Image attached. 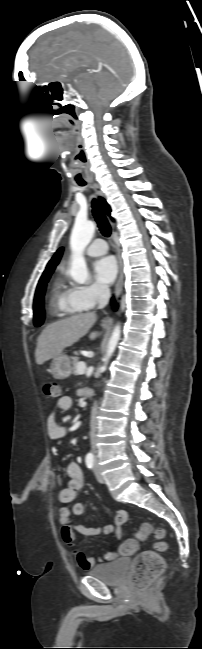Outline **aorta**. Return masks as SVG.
<instances>
[{
  "instance_id": "aorta-1",
  "label": "aorta",
  "mask_w": 202,
  "mask_h": 649,
  "mask_svg": "<svg viewBox=\"0 0 202 649\" xmlns=\"http://www.w3.org/2000/svg\"><path fill=\"white\" fill-rule=\"evenodd\" d=\"M95 232V224L92 221H77L70 237L71 267L70 275L78 283H86L89 280V272L86 261L83 256L85 248L91 242ZM121 336V326L117 324L113 329L112 335L108 341L106 355L104 357L103 370L112 357Z\"/></svg>"
}]
</instances>
